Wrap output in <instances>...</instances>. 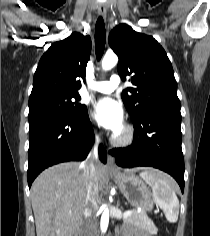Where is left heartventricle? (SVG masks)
<instances>
[{
	"instance_id": "b2bd125f",
	"label": "left heart ventricle",
	"mask_w": 210,
	"mask_h": 236,
	"mask_svg": "<svg viewBox=\"0 0 210 236\" xmlns=\"http://www.w3.org/2000/svg\"><path fill=\"white\" fill-rule=\"evenodd\" d=\"M123 129V128H122ZM122 129L119 131V132H117V134H121L122 133Z\"/></svg>"
}]
</instances>
